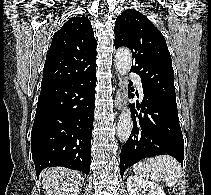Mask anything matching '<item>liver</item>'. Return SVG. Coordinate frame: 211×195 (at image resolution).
Wrapping results in <instances>:
<instances>
[{"label": "liver", "instance_id": "obj_1", "mask_svg": "<svg viewBox=\"0 0 211 195\" xmlns=\"http://www.w3.org/2000/svg\"><path fill=\"white\" fill-rule=\"evenodd\" d=\"M41 177L45 195H78L84 182L80 172L64 167L46 168Z\"/></svg>", "mask_w": 211, "mask_h": 195}]
</instances>
